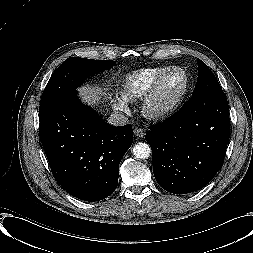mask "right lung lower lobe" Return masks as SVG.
Returning a JSON list of instances; mask_svg holds the SVG:
<instances>
[{"instance_id": "obj_1", "label": "right lung lower lobe", "mask_w": 253, "mask_h": 253, "mask_svg": "<svg viewBox=\"0 0 253 253\" xmlns=\"http://www.w3.org/2000/svg\"><path fill=\"white\" fill-rule=\"evenodd\" d=\"M40 140L57 182L72 196L99 201L117 187L119 163L133 141L131 125L112 126L76 91L40 118Z\"/></svg>"}]
</instances>
